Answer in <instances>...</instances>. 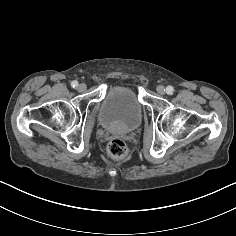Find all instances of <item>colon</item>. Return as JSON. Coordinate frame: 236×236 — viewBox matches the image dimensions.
Here are the masks:
<instances>
[{
  "instance_id": "colon-1",
  "label": "colon",
  "mask_w": 236,
  "mask_h": 236,
  "mask_svg": "<svg viewBox=\"0 0 236 236\" xmlns=\"http://www.w3.org/2000/svg\"><path fill=\"white\" fill-rule=\"evenodd\" d=\"M108 152L116 159H123L128 154V148L123 140L116 138L109 142Z\"/></svg>"
}]
</instances>
